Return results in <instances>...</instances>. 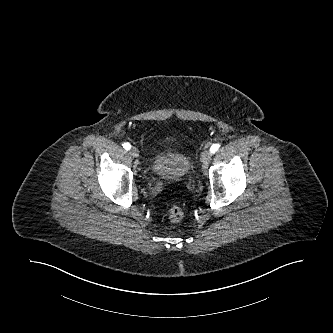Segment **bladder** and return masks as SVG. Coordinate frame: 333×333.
<instances>
[{"label": "bladder", "mask_w": 333, "mask_h": 333, "mask_svg": "<svg viewBox=\"0 0 333 333\" xmlns=\"http://www.w3.org/2000/svg\"><path fill=\"white\" fill-rule=\"evenodd\" d=\"M190 166L191 162L186 154L172 149L158 152L150 161V171L155 176L172 181L184 178Z\"/></svg>", "instance_id": "bladder-1"}]
</instances>
